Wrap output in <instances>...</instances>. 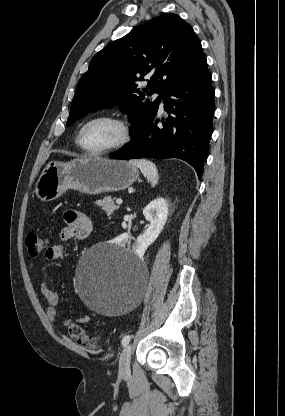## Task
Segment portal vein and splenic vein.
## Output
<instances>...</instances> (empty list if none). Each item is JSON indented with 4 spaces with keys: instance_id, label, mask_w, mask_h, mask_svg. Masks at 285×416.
Listing matches in <instances>:
<instances>
[{
    "instance_id": "18ae733b",
    "label": "portal vein and splenic vein",
    "mask_w": 285,
    "mask_h": 416,
    "mask_svg": "<svg viewBox=\"0 0 285 416\" xmlns=\"http://www.w3.org/2000/svg\"><path fill=\"white\" fill-rule=\"evenodd\" d=\"M123 200H116V204H122Z\"/></svg>"
}]
</instances>
